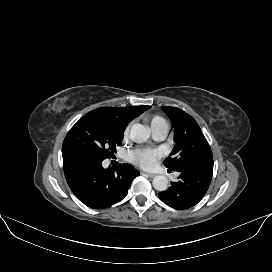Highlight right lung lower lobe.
I'll return each mask as SVG.
<instances>
[{
  "mask_svg": "<svg viewBox=\"0 0 272 272\" xmlns=\"http://www.w3.org/2000/svg\"><path fill=\"white\" fill-rule=\"evenodd\" d=\"M67 183L74 195L93 209H104L122 200L139 172L129 164L116 170L104 169L102 162L84 159L63 160Z\"/></svg>",
  "mask_w": 272,
  "mask_h": 272,
  "instance_id": "1",
  "label": "right lung lower lobe"
}]
</instances>
